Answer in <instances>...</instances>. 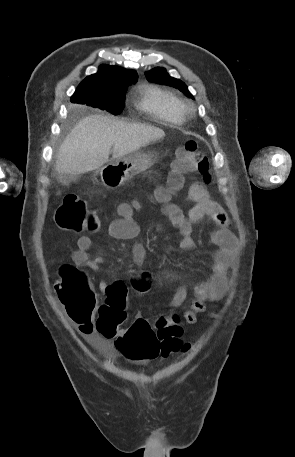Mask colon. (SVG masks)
Instances as JSON below:
<instances>
[{"instance_id": "colon-1", "label": "colon", "mask_w": 295, "mask_h": 457, "mask_svg": "<svg viewBox=\"0 0 295 457\" xmlns=\"http://www.w3.org/2000/svg\"><path fill=\"white\" fill-rule=\"evenodd\" d=\"M199 172L206 183L210 182L209 162L199 152L195 140H189L176 149L168 178L169 189L178 190L183 185V175ZM160 201L169 198L168 190L157 194ZM132 207H124L120 214L132 212ZM56 222L62 229L81 232H95L100 227L99 218L79 196L67 195L56 211ZM132 290L138 294L150 292L154 286L152 277L146 273L134 275L130 281ZM59 300L70 318L90 322L96 307V299L88 278L75 266L64 265L59 279L55 283ZM105 304L98 310L94 323L96 330L106 338H116V350L120 359L157 360L158 356L167 357L182 351L193 349L192 341H181L183 329L181 319L174 315L171 318L161 317L153 328L145 319H137L127 330L121 325L125 319L124 307L127 291L123 283H116L106 291Z\"/></svg>"}]
</instances>
